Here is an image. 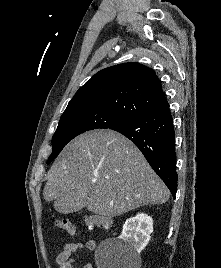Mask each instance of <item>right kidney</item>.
<instances>
[{
  "label": "right kidney",
  "instance_id": "1",
  "mask_svg": "<svg viewBox=\"0 0 221 268\" xmlns=\"http://www.w3.org/2000/svg\"><path fill=\"white\" fill-rule=\"evenodd\" d=\"M153 232V219L144 213L127 219L119 239L132 251L139 254L150 240Z\"/></svg>",
  "mask_w": 221,
  "mask_h": 268
}]
</instances>
